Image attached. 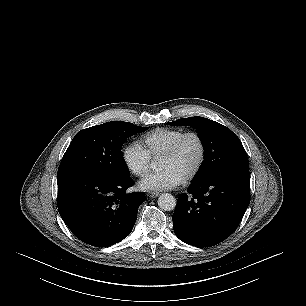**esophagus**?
Masks as SVG:
<instances>
[{
  "instance_id": "1",
  "label": "esophagus",
  "mask_w": 306,
  "mask_h": 306,
  "mask_svg": "<svg viewBox=\"0 0 306 306\" xmlns=\"http://www.w3.org/2000/svg\"><path fill=\"white\" fill-rule=\"evenodd\" d=\"M159 192H153V191H150L147 193V196L151 197V198H155L157 196H159Z\"/></svg>"
}]
</instances>
